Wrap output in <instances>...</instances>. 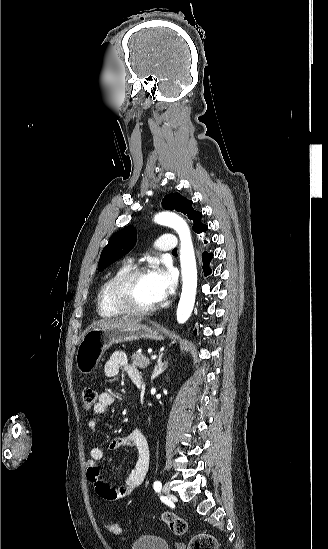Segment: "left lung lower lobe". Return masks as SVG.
Wrapping results in <instances>:
<instances>
[{"instance_id":"obj_1","label":"left lung lower lobe","mask_w":328,"mask_h":549,"mask_svg":"<svg viewBox=\"0 0 328 549\" xmlns=\"http://www.w3.org/2000/svg\"><path fill=\"white\" fill-rule=\"evenodd\" d=\"M204 243L207 244V241L205 240ZM212 258H213V253H209V252L205 251L202 254L203 271H204L205 276L211 274V269L209 267V263L212 260Z\"/></svg>"}]
</instances>
